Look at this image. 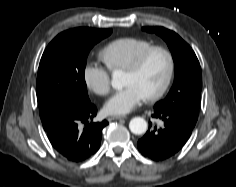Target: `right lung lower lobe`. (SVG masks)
Wrapping results in <instances>:
<instances>
[{"label":"right lung lower lobe","instance_id":"obj_1","mask_svg":"<svg viewBox=\"0 0 236 187\" xmlns=\"http://www.w3.org/2000/svg\"><path fill=\"white\" fill-rule=\"evenodd\" d=\"M96 112L97 108L89 101L60 115L45 129L52 146L65 159L83 162L98 151L102 130L108 122L89 123ZM80 123L85 124L83 131Z\"/></svg>","mask_w":236,"mask_h":187}]
</instances>
